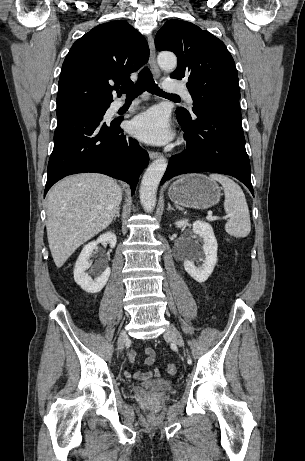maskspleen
Segmentation results:
<instances>
[{"mask_svg":"<svg viewBox=\"0 0 305 461\" xmlns=\"http://www.w3.org/2000/svg\"><path fill=\"white\" fill-rule=\"evenodd\" d=\"M210 179L218 181L224 190V210L229 217L226 232L236 238H244L251 231L249 208L241 187L227 176L210 174Z\"/></svg>","mask_w":305,"mask_h":461,"instance_id":"3e777b00","label":"spleen"}]
</instances>
